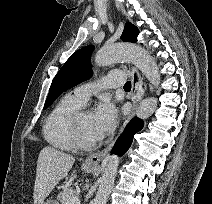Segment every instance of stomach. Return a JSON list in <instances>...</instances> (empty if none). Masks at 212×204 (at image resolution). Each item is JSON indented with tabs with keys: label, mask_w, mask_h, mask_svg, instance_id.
Segmentation results:
<instances>
[{
	"label": "stomach",
	"mask_w": 212,
	"mask_h": 204,
	"mask_svg": "<svg viewBox=\"0 0 212 204\" xmlns=\"http://www.w3.org/2000/svg\"><path fill=\"white\" fill-rule=\"evenodd\" d=\"M82 170L84 172H87L88 173V172H92L94 170V167L93 166H86V165H84L82 167ZM43 204H58V202L55 201V200H52V199H48L45 202H43Z\"/></svg>",
	"instance_id": "stomach-1"
}]
</instances>
